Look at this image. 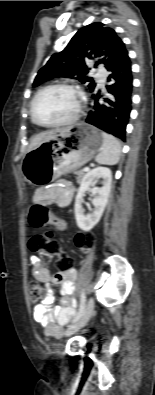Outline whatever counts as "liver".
<instances>
[{"instance_id": "1", "label": "liver", "mask_w": 155, "mask_h": 395, "mask_svg": "<svg viewBox=\"0 0 155 395\" xmlns=\"http://www.w3.org/2000/svg\"><path fill=\"white\" fill-rule=\"evenodd\" d=\"M58 131L59 130L46 131L32 137L29 145V151L41 145L43 142L49 141Z\"/></svg>"}]
</instances>
